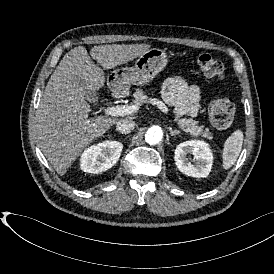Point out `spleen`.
Here are the masks:
<instances>
[{
  "label": "spleen",
  "mask_w": 274,
  "mask_h": 274,
  "mask_svg": "<svg viewBox=\"0 0 274 274\" xmlns=\"http://www.w3.org/2000/svg\"><path fill=\"white\" fill-rule=\"evenodd\" d=\"M244 133L242 129H236L224 141L222 149V169H230L237 161L242 150Z\"/></svg>",
  "instance_id": "3e777b00"
}]
</instances>
